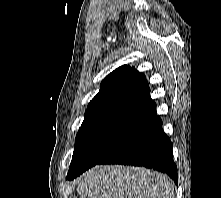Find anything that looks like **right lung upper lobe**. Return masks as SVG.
<instances>
[{"instance_id":"cb5924a9","label":"right lung upper lobe","mask_w":221,"mask_h":198,"mask_svg":"<svg viewBox=\"0 0 221 198\" xmlns=\"http://www.w3.org/2000/svg\"><path fill=\"white\" fill-rule=\"evenodd\" d=\"M156 114L146 77L133 67L123 65L101 83L99 93L90 101L81 127L101 120H130L144 123Z\"/></svg>"}]
</instances>
